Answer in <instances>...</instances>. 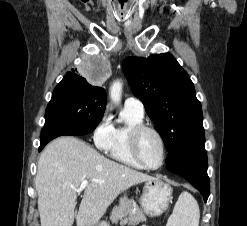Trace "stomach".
Returning <instances> with one entry per match:
<instances>
[{
	"instance_id": "obj_1",
	"label": "stomach",
	"mask_w": 247,
	"mask_h": 226,
	"mask_svg": "<svg viewBox=\"0 0 247 226\" xmlns=\"http://www.w3.org/2000/svg\"><path fill=\"white\" fill-rule=\"evenodd\" d=\"M172 187L158 178L147 180L143 186L140 205L146 215L158 217L163 214L172 199ZM96 226H106L97 224Z\"/></svg>"
}]
</instances>
